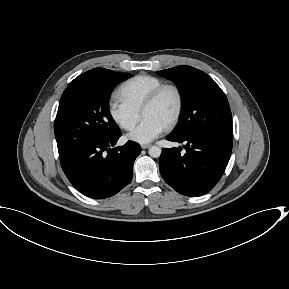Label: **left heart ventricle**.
Wrapping results in <instances>:
<instances>
[{"instance_id":"left-heart-ventricle-1","label":"left heart ventricle","mask_w":289,"mask_h":289,"mask_svg":"<svg viewBox=\"0 0 289 289\" xmlns=\"http://www.w3.org/2000/svg\"><path fill=\"white\" fill-rule=\"evenodd\" d=\"M176 105L177 99L175 93L172 90H166L155 104L143 112L142 116L144 118H154L167 125L176 110Z\"/></svg>"}]
</instances>
